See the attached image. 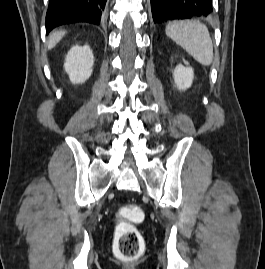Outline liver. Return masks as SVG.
Here are the masks:
<instances>
[{
	"label": "liver",
	"mask_w": 265,
	"mask_h": 269,
	"mask_svg": "<svg viewBox=\"0 0 265 269\" xmlns=\"http://www.w3.org/2000/svg\"><path fill=\"white\" fill-rule=\"evenodd\" d=\"M65 34L66 31L63 30L54 32L49 39L48 49H52L53 47H55Z\"/></svg>",
	"instance_id": "obj_1"
}]
</instances>
